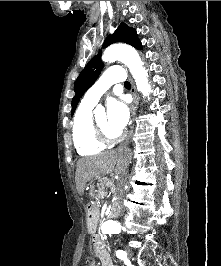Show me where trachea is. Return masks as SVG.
Returning <instances> with one entry per match:
<instances>
[{
  "label": "trachea",
  "instance_id": "obj_1",
  "mask_svg": "<svg viewBox=\"0 0 221 266\" xmlns=\"http://www.w3.org/2000/svg\"><path fill=\"white\" fill-rule=\"evenodd\" d=\"M124 86H126V87H130L131 84H130V82L126 81V82L124 83Z\"/></svg>",
  "mask_w": 221,
  "mask_h": 266
}]
</instances>
